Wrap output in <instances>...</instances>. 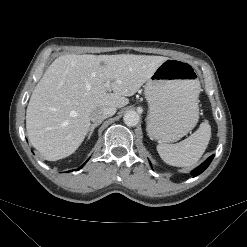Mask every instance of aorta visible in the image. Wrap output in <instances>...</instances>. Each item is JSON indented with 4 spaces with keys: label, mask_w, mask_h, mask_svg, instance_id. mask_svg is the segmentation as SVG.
I'll return each instance as SVG.
<instances>
[{
    "label": "aorta",
    "mask_w": 247,
    "mask_h": 247,
    "mask_svg": "<svg viewBox=\"0 0 247 247\" xmlns=\"http://www.w3.org/2000/svg\"><path fill=\"white\" fill-rule=\"evenodd\" d=\"M123 120H124V123L127 125V126H136L139 121H140V116L137 112L135 111H128L124 114V117H123Z\"/></svg>",
    "instance_id": "aorta-1"
}]
</instances>
